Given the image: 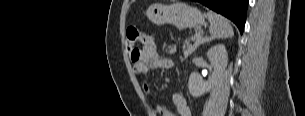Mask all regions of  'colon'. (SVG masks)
<instances>
[{"instance_id": "1", "label": "colon", "mask_w": 305, "mask_h": 116, "mask_svg": "<svg viewBox=\"0 0 305 116\" xmlns=\"http://www.w3.org/2000/svg\"><path fill=\"white\" fill-rule=\"evenodd\" d=\"M149 38L141 33L135 26H129L126 30V48L132 58L138 56V49L135 48L136 43L145 44Z\"/></svg>"}]
</instances>
